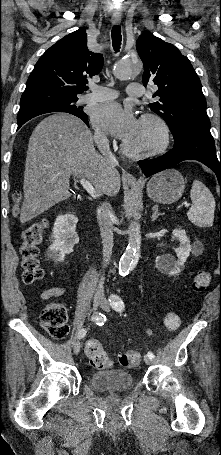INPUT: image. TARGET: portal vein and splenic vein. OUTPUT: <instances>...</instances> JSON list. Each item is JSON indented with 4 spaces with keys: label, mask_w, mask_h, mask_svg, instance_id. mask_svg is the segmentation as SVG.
I'll return each mask as SVG.
<instances>
[{
    "label": "portal vein and splenic vein",
    "mask_w": 221,
    "mask_h": 455,
    "mask_svg": "<svg viewBox=\"0 0 221 455\" xmlns=\"http://www.w3.org/2000/svg\"><path fill=\"white\" fill-rule=\"evenodd\" d=\"M80 183L83 186V188L91 195L92 198H94V199L97 198L98 195H97L94 187L92 186V184L88 180H85L84 178H81L80 179ZM185 206L188 207L189 205L186 204Z\"/></svg>",
    "instance_id": "1"
}]
</instances>
